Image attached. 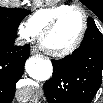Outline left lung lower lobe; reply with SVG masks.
<instances>
[{
	"mask_svg": "<svg viewBox=\"0 0 103 103\" xmlns=\"http://www.w3.org/2000/svg\"><path fill=\"white\" fill-rule=\"evenodd\" d=\"M53 75L45 82L49 103H90L102 83L103 35L88 26L81 45L72 55L52 60Z\"/></svg>",
	"mask_w": 103,
	"mask_h": 103,
	"instance_id": "1",
	"label": "left lung lower lobe"
}]
</instances>
